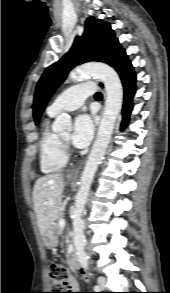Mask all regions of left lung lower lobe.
<instances>
[{
	"mask_svg": "<svg viewBox=\"0 0 170 293\" xmlns=\"http://www.w3.org/2000/svg\"><path fill=\"white\" fill-rule=\"evenodd\" d=\"M111 66L118 72L125 90L124 107L122 111L123 129L127 125L132 110V97L135 93L136 75L125 51L116 58Z\"/></svg>",
	"mask_w": 170,
	"mask_h": 293,
	"instance_id": "0a47b994",
	"label": "left lung lower lobe"
}]
</instances>
